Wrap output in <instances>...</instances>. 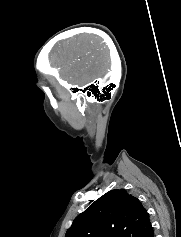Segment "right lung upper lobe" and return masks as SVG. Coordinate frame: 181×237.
I'll return each instance as SVG.
<instances>
[{
  "label": "right lung upper lobe",
  "mask_w": 181,
  "mask_h": 237,
  "mask_svg": "<svg viewBox=\"0 0 181 237\" xmlns=\"http://www.w3.org/2000/svg\"><path fill=\"white\" fill-rule=\"evenodd\" d=\"M149 214L125 189H114L80 213L65 237H152Z\"/></svg>",
  "instance_id": "1"
}]
</instances>
